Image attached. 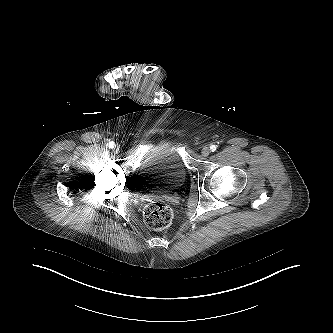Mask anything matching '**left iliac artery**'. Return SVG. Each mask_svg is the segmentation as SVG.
Segmentation results:
<instances>
[{
  "mask_svg": "<svg viewBox=\"0 0 333 333\" xmlns=\"http://www.w3.org/2000/svg\"><path fill=\"white\" fill-rule=\"evenodd\" d=\"M216 149H217V146H216V145H211V146H210V150H211L212 152H214Z\"/></svg>",
  "mask_w": 333,
  "mask_h": 333,
  "instance_id": "obj_1",
  "label": "left iliac artery"
}]
</instances>
